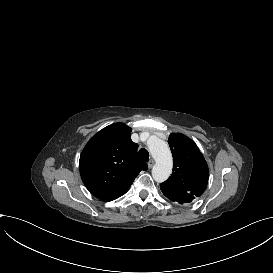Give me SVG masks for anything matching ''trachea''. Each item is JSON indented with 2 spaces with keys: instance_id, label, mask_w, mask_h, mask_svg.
Listing matches in <instances>:
<instances>
[{
  "instance_id": "obj_1",
  "label": "trachea",
  "mask_w": 273,
  "mask_h": 273,
  "mask_svg": "<svg viewBox=\"0 0 273 273\" xmlns=\"http://www.w3.org/2000/svg\"><path fill=\"white\" fill-rule=\"evenodd\" d=\"M139 158L144 162L149 161V152L145 148H141L139 150Z\"/></svg>"
}]
</instances>
